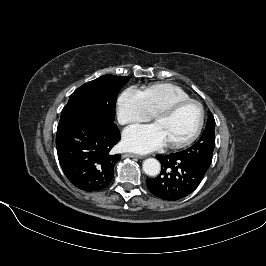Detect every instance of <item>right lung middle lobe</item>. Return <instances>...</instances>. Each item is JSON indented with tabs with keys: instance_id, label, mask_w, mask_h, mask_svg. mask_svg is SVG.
Returning <instances> with one entry per match:
<instances>
[{
	"instance_id": "1",
	"label": "right lung middle lobe",
	"mask_w": 266,
	"mask_h": 266,
	"mask_svg": "<svg viewBox=\"0 0 266 266\" xmlns=\"http://www.w3.org/2000/svg\"><path fill=\"white\" fill-rule=\"evenodd\" d=\"M129 79V76L104 75L85 83L70 95L60 121L81 119L104 125L114 124L117 94Z\"/></svg>"
}]
</instances>
